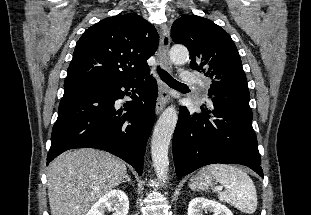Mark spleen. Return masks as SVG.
Returning a JSON list of instances; mask_svg holds the SVG:
<instances>
[{
    "instance_id": "3e777b00",
    "label": "spleen",
    "mask_w": 311,
    "mask_h": 215,
    "mask_svg": "<svg viewBox=\"0 0 311 215\" xmlns=\"http://www.w3.org/2000/svg\"><path fill=\"white\" fill-rule=\"evenodd\" d=\"M204 174L225 188L224 192H218L219 200L246 214L256 211V188L250 176L242 169L228 164H212L204 169Z\"/></svg>"
}]
</instances>
